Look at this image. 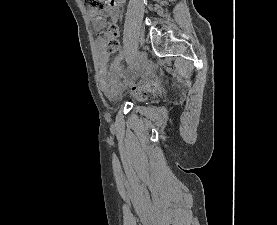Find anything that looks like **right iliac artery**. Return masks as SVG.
Returning a JSON list of instances; mask_svg holds the SVG:
<instances>
[{
    "mask_svg": "<svg viewBox=\"0 0 277 225\" xmlns=\"http://www.w3.org/2000/svg\"><path fill=\"white\" fill-rule=\"evenodd\" d=\"M137 63H138V58L135 57L130 66L131 72H130L129 80H131L134 77L135 71L137 69Z\"/></svg>",
    "mask_w": 277,
    "mask_h": 225,
    "instance_id": "1",
    "label": "right iliac artery"
}]
</instances>
